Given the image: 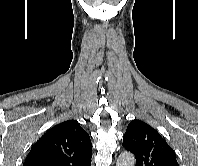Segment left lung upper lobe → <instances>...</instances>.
Segmentation results:
<instances>
[{
	"mask_svg": "<svg viewBox=\"0 0 198 166\" xmlns=\"http://www.w3.org/2000/svg\"><path fill=\"white\" fill-rule=\"evenodd\" d=\"M123 146L136 158V166H179L173 149L151 126L133 120L123 136Z\"/></svg>",
	"mask_w": 198,
	"mask_h": 166,
	"instance_id": "1",
	"label": "left lung upper lobe"
}]
</instances>
